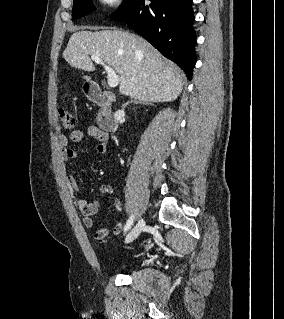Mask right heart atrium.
<instances>
[{
  "instance_id": "obj_1",
  "label": "right heart atrium",
  "mask_w": 284,
  "mask_h": 319,
  "mask_svg": "<svg viewBox=\"0 0 284 319\" xmlns=\"http://www.w3.org/2000/svg\"><path fill=\"white\" fill-rule=\"evenodd\" d=\"M98 2L105 8H116L121 4V0H98Z\"/></svg>"
}]
</instances>
